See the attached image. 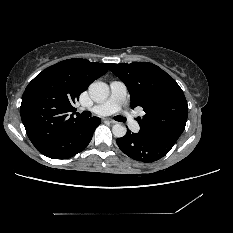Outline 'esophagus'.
Returning a JSON list of instances; mask_svg holds the SVG:
<instances>
[{
	"mask_svg": "<svg viewBox=\"0 0 233 233\" xmlns=\"http://www.w3.org/2000/svg\"><path fill=\"white\" fill-rule=\"evenodd\" d=\"M105 121H108V122H110L111 124H115L116 122L114 121V120H112V119H105Z\"/></svg>",
	"mask_w": 233,
	"mask_h": 233,
	"instance_id": "obj_1",
	"label": "esophagus"
}]
</instances>
